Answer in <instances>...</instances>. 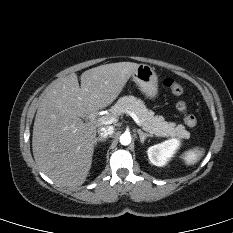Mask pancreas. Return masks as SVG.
Returning <instances> with one entry per match:
<instances>
[{
  "label": "pancreas",
  "mask_w": 233,
  "mask_h": 233,
  "mask_svg": "<svg viewBox=\"0 0 233 233\" xmlns=\"http://www.w3.org/2000/svg\"><path fill=\"white\" fill-rule=\"evenodd\" d=\"M130 110L134 112L140 120L142 128L151 135L171 138H189L190 134L184 126L176 125L174 122H166L162 116L154 115L148 110L144 102L134 96H124L118 99L116 104L110 109L114 115Z\"/></svg>",
  "instance_id": "cf45deb5"
}]
</instances>
